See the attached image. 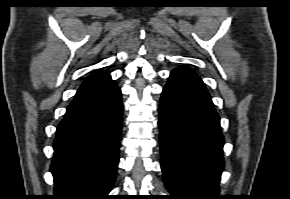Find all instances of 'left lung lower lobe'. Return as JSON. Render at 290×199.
<instances>
[{
    "mask_svg": "<svg viewBox=\"0 0 290 199\" xmlns=\"http://www.w3.org/2000/svg\"><path fill=\"white\" fill-rule=\"evenodd\" d=\"M161 168L175 198L217 199L224 167L220 118L203 81L174 69L160 101Z\"/></svg>",
    "mask_w": 290,
    "mask_h": 199,
    "instance_id": "left-lung-lower-lobe-1",
    "label": "left lung lower lobe"
}]
</instances>
